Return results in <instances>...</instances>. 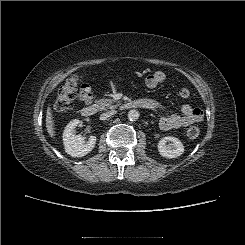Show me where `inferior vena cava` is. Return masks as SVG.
<instances>
[{"label":"inferior vena cava","mask_w":245,"mask_h":245,"mask_svg":"<svg viewBox=\"0 0 245 245\" xmlns=\"http://www.w3.org/2000/svg\"><path fill=\"white\" fill-rule=\"evenodd\" d=\"M115 114H116V111H114V110L108 111V112H106V113L101 114V115H100V119H101V120H106V119H108L109 117H111V116H113V115H115Z\"/></svg>","instance_id":"obj_1"}]
</instances>
